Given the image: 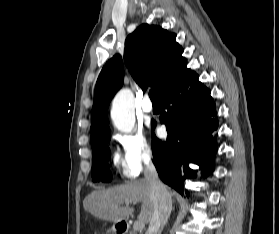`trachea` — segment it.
<instances>
[{"mask_svg": "<svg viewBox=\"0 0 279 234\" xmlns=\"http://www.w3.org/2000/svg\"><path fill=\"white\" fill-rule=\"evenodd\" d=\"M149 96H150L152 102H157V101H158L157 92H156L155 89H151V90L149 91Z\"/></svg>", "mask_w": 279, "mask_h": 234, "instance_id": "3493384b", "label": "trachea"}]
</instances>
